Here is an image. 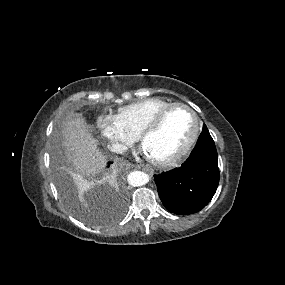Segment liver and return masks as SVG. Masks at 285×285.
I'll return each instance as SVG.
<instances>
[{
    "label": "liver",
    "mask_w": 285,
    "mask_h": 285,
    "mask_svg": "<svg viewBox=\"0 0 285 285\" xmlns=\"http://www.w3.org/2000/svg\"><path fill=\"white\" fill-rule=\"evenodd\" d=\"M63 139L67 161L79 185H87L83 177L91 179L104 172L105 156L97 149L96 140L83 118H71L64 123Z\"/></svg>",
    "instance_id": "1"
}]
</instances>
